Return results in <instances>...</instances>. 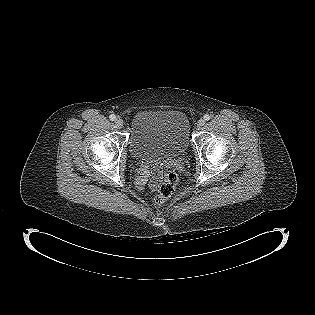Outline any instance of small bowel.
<instances>
[{
  "instance_id": "c3829d8e",
  "label": "small bowel",
  "mask_w": 315,
  "mask_h": 315,
  "mask_svg": "<svg viewBox=\"0 0 315 315\" xmlns=\"http://www.w3.org/2000/svg\"><path fill=\"white\" fill-rule=\"evenodd\" d=\"M159 173H160L159 169H155L152 179L150 181V187L152 189H157L159 185L161 184L162 176ZM147 177H148V172L146 170H142L141 176L138 178V183L140 185L145 184Z\"/></svg>"
}]
</instances>
